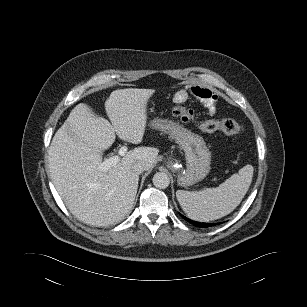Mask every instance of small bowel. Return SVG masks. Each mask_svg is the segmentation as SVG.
Instances as JSON below:
<instances>
[{
    "label": "small bowel",
    "instance_id": "1",
    "mask_svg": "<svg viewBox=\"0 0 307 307\" xmlns=\"http://www.w3.org/2000/svg\"><path fill=\"white\" fill-rule=\"evenodd\" d=\"M190 96H194L206 103L208 110L210 112L213 111L216 96L210 89L200 85H189L178 90L174 99L177 103H185L189 100Z\"/></svg>",
    "mask_w": 307,
    "mask_h": 307
}]
</instances>
